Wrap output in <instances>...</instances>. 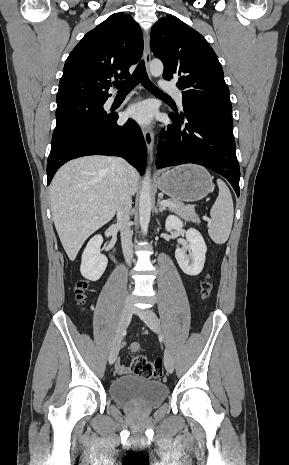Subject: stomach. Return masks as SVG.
<instances>
[{"mask_svg": "<svg viewBox=\"0 0 289 465\" xmlns=\"http://www.w3.org/2000/svg\"><path fill=\"white\" fill-rule=\"evenodd\" d=\"M158 188L177 201L195 202L207 196L213 182L210 173L194 164L180 165L157 177Z\"/></svg>", "mask_w": 289, "mask_h": 465, "instance_id": "0dacf381", "label": "stomach"}]
</instances>
